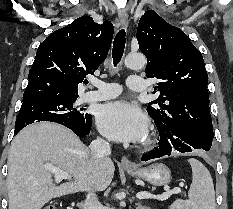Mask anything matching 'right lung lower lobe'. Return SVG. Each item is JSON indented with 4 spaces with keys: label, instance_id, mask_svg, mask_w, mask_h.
<instances>
[{
    "label": "right lung lower lobe",
    "instance_id": "right-lung-lower-lobe-1",
    "mask_svg": "<svg viewBox=\"0 0 233 209\" xmlns=\"http://www.w3.org/2000/svg\"><path fill=\"white\" fill-rule=\"evenodd\" d=\"M91 119L92 117H90V119L88 121H86L84 124L81 125H77V126H66L69 129H71L75 134H77L79 137H85L86 135L89 134L90 132V128H91ZM22 128L24 127H19L16 128L15 127V132L14 135H16Z\"/></svg>",
    "mask_w": 233,
    "mask_h": 209
}]
</instances>
